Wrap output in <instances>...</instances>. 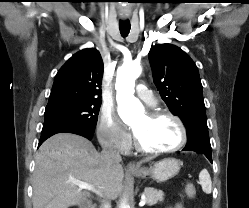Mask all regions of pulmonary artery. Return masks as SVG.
<instances>
[{
	"instance_id": "pulmonary-artery-1",
	"label": "pulmonary artery",
	"mask_w": 249,
	"mask_h": 208,
	"mask_svg": "<svg viewBox=\"0 0 249 208\" xmlns=\"http://www.w3.org/2000/svg\"><path fill=\"white\" fill-rule=\"evenodd\" d=\"M136 95H137V97L139 99H141L142 101H144L145 103H147L149 105H154L155 104L152 91L149 90L143 84L137 85V87H136Z\"/></svg>"
}]
</instances>
